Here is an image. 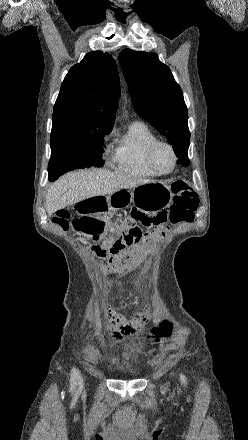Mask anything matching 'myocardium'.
Listing matches in <instances>:
<instances>
[{
	"instance_id": "1",
	"label": "myocardium",
	"mask_w": 248,
	"mask_h": 440,
	"mask_svg": "<svg viewBox=\"0 0 248 440\" xmlns=\"http://www.w3.org/2000/svg\"><path fill=\"white\" fill-rule=\"evenodd\" d=\"M161 147H165L167 148L173 157V165L170 169L168 170H162L159 168V166L156 163V153L158 151L159 148ZM146 161L148 166L158 175H167L170 174L171 172L174 171V169L177 167L178 164V155L176 153L175 148L173 147L172 144L166 142V141H161V140H157L155 142H153L147 149L146 152Z\"/></svg>"
}]
</instances>
